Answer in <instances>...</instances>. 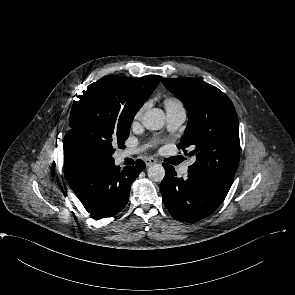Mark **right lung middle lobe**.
<instances>
[{"label":"right lung middle lobe","mask_w":295,"mask_h":295,"mask_svg":"<svg viewBox=\"0 0 295 295\" xmlns=\"http://www.w3.org/2000/svg\"><path fill=\"white\" fill-rule=\"evenodd\" d=\"M146 101L136 78L107 76L74 101L64 139L86 164L113 161L124 147L135 114Z\"/></svg>","instance_id":"1"}]
</instances>
